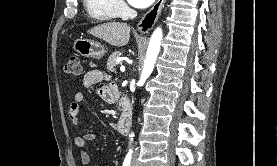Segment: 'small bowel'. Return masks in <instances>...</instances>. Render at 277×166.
<instances>
[{
  "instance_id": "1",
  "label": "small bowel",
  "mask_w": 277,
  "mask_h": 166,
  "mask_svg": "<svg viewBox=\"0 0 277 166\" xmlns=\"http://www.w3.org/2000/svg\"><path fill=\"white\" fill-rule=\"evenodd\" d=\"M104 78L105 75L100 70H91L85 74L83 78V85L85 88H92L100 83ZM98 93L103 101L107 103H114L117 99L118 90L116 85L110 83L103 86ZM83 99L84 93L77 92L70 104L68 116L73 127H77L79 125V112ZM97 136L98 135L95 132H87L83 135L77 136L74 139V146L78 150L80 161L83 165H88L90 163V155L86 150V143L95 140Z\"/></svg>"
}]
</instances>
